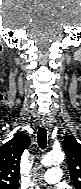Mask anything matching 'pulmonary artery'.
Segmentation results:
<instances>
[{
	"instance_id": "obj_1",
	"label": "pulmonary artery",
	"mask_w": 81,
	"mask_h": 189,
	"mask_svg": "<svg viewBox=\"0 0 81 189\" xmlns=\"http://www.w3.org/2000/svg\"><path fill=\"white\" fill-rule=\"evenodd\" d=\"M61 177H62V170L60 168L54 167L47 170L40 178V180L43 183L54 184L59 182L61 180Z\"/></svg>"
}]
</instances>
